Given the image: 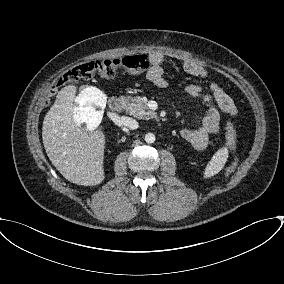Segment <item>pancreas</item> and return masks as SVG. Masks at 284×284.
I'll return each mask as SVG.
<instances>
[{"label": "pancreas", "instance_id": "cf45deb5", "mask_svg": "<svg viewBox=\"0 0 284 284\" xmlns=\"http://www.w3.org/2000/svg\"><path fill=\"white\" fill-rule=\"evenodd\" d=\"M120 101L123 104V108L126 109L130 115L138 119L148 120L156 118V113L148 108L147 102L143 98L138 96H121Z\"/></svg>", "mask_w": 284, "mask_h": 284}]
</instances>
